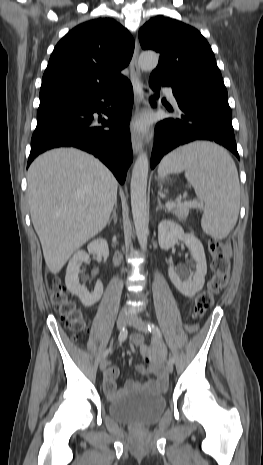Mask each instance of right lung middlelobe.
<instances>
[{
    "mask_svg": "<svg viewBox=\"0 0 263 465\" xmlns=\"http://www.w3.org/2000/svg\"><path fill=\"white\" fill-rule=\"evenodd\" d=\"M65 98H59V99H51V100H44V101H40V106H44V105H47V104H50V103H54V102H57V101H61Z\"/></svg>",
    "mask_w": 263,
    "mask_h": 465,
    "instance_id": "obj_1",
    "label": "right lung middle lobe"
}]
</instances>
